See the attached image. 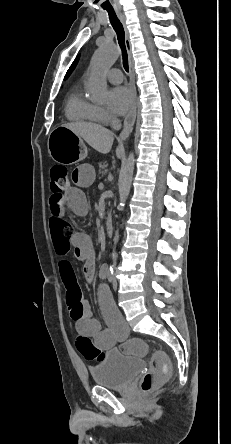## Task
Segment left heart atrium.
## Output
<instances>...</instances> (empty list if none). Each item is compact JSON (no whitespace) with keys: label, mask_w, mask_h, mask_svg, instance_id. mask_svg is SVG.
<instances>
[{"label":"left heart atrium","mask_w":231,"mask_h":444,"mask_svg":"<svg viewBox=\"0 0 231 444\" xmlns=\"http://www.w3.org/2000/svg\"><path fill=\"white\" fill-rule=\"evenodd\" d=\"M132 103V92L126 87H115L108 92V106L110 110L117 115L126 113Z\"/></svg>","instance_id":"1"}]
</instances>
